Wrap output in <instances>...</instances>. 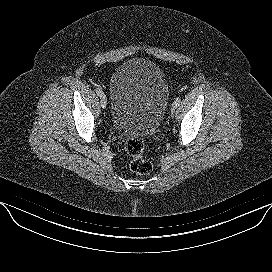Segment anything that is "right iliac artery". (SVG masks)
Wrapping results in <instances>:
<instances>
[{"mask_svg":"<svg viewBox=\"0 0 272 272\" xmlns=\"http://www.w3.org/2000/svg\"><path fill=\"white\" fill-rule=\"evenodd\" d=\"M96 93H97V95L100 96V97H102V96L104 95L103 92H102L100 89H97V90H96Z\"/></svg>","mask_w":272,"mask_h":272,"instance_id":"obj_1","label":"right iliac artery"}]
</instances>
